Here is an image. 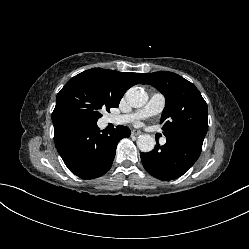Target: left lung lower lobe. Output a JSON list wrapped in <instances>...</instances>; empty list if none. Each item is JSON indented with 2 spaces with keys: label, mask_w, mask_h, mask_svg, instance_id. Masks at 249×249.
Masks as SVG:
<instances>
[{
  "label": "left lung lower lobe",
  "mask_w": 249,
  "mask_h": 249,
  "mask_svg": "<svg viewBox=\"0 0 249 249\" xmlns=\"http://www.w3.org/2000/svg\"><path fill=\"white\" fill-rule=\"evenodd\" d=\"M149 153L140 157L145 170L160 180H173L185 174L196 162L202 150L203 140L192 135H176L166 138Z\"/></svg>",
  "instance_id": "left-lung-lower-lobe-1"
}]
</instances>
